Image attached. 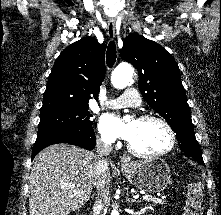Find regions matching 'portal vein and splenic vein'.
<instances>
[{"label":"portal vein and splenic vein","instance_id":"obj_1","mask_svg":"<svg viewBox=\"0 0 221 215\" xmlns=\"http://www.w3.org/2000/svg\"><path fill=\"white\" fill-rule=\"evenodd\" d=\"M78 193H80V191H77ZM150 198V196L149 195H144V196H142V199H145V200H147V199H149Z\"/></svg>","mask_w":221,"mask_h":215}]
</instances>
